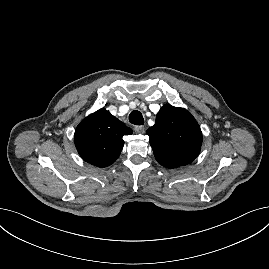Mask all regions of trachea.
I'll return each instance as SVG.
<instances>
[{"mask_svg":"<svg viewBox=\"0 0 269 269\" xmlns=\"http://www.w3.org/2000/svg\"><path fill=\"white\" fill-rule=\"evenodd\" d=\"M129 122L134 124V125H143L144 118L139 111L134 110L129 115Z\"/></svg>","mask_w":269,"mask_h":269,"instance_id":"obj_1","label":"trachea"}]
</instances>
